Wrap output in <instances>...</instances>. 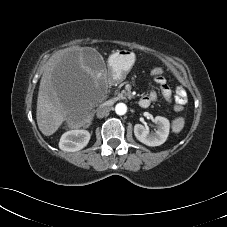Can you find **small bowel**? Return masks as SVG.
<instances>
[{
    "mask_svg": "<svg viewBox=\"0 0 227 227\" xmlns=\"http://www.w3.org/2000/svg\"><path fill=\"white\" fill-rule=\"evenodd\" d=\"M154 80H155L156 84H158V86L160 87L163 98L167 102H171L172 92L166 83V79L162 75H159L156 78H154ZM143 99L148 101V103L150 105L151 102L157 100V93L154 90H151L147 96L143 97ZM174 100L177 105L182 106V105L186 104L187 94H186V91L184 90V88L178 87L176 89Z\"/></svg>",
    "mask_w": 227,
    "mask_h": 227,
    "instance_id": "1",
    "label": "small bowel"
}]
</instances>
